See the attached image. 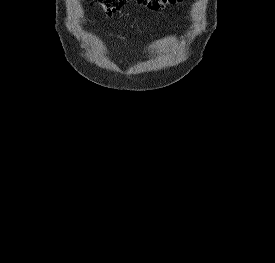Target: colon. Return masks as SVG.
Masks as SVG:
<instances>
[{"mask_svg":"<svg viewBox=\"0 0 275 263\" xmlns=\"http://www.w3.org/2000/svg\"><path fill=\"white\" fill-rule=\"evenodd\" d=\"M137 4L147 7L152 11H159L165 9L179 2V0H135ZM126 0H97V4L106 15L118 12Z\"/></svg>","mask_w":275,"mask_h":263,"instance_id":"colon-1","label":"colon"}]
</instances>
